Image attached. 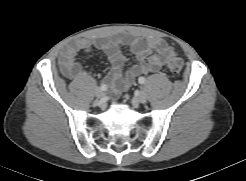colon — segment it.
<instances>
[{
	"mask_svg": "<svg viewBox=\"0 0 246 181\" xmlns=\"http://www.w3.org/2000/svg\"><path fill=\"white\" fill-rule=\"evenodd\" d=\"M183 65H184V62H183L182 58H180L179 56H177L174 53H171L169 55L168 69L171 73H173V74L180 73L183 69Z\"/></svg>",
	"mask_w": 246,
	"mask_h": 181,
	"instance_id": "5ec220e1",
	"label": "colon"
}]
</instances>
